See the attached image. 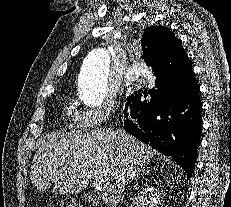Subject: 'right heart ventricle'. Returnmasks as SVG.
I'll return each instance as SVG.
<instances>
[{"label":"right heart ventricle","mask_w":231,"mask_h":207,"mask_svg":"<svg viewBox=\"0 0 231 207\" xmlns=\"http://www.w3.org/2000/svg\"><path fill=\"white\" fill-rule=\"evenodd\" d=\"M65 115H66L68 118H70V117L72 116V109H71V107H67V109L65 110ZM73 122H74V124H76V123H75V116L73 117Z\"/></svg>","instance_id":"obj_1"}]
</instances>
